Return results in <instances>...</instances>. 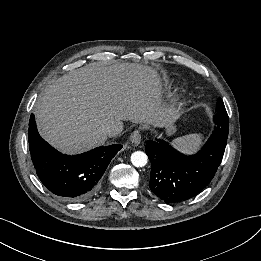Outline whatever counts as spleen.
<instances>
[{
    "label": "spleen",
    "mask_w": 261,
    "mask_h": 261,
    "mask_svg": "<svg viewBox=\"0 0 261 261\" xmlns=\"http://www.w3.org/2000/svg\"><path fill=\"white\" fill-rule=\"evenodd\" d=\"M202 134H189L183 137H178L172 141V143L181 151L192 153L195 152L202 144Z\"/></svg>",
    "instance_id": "1"
}]
</instances>
